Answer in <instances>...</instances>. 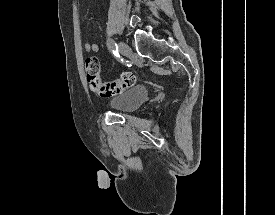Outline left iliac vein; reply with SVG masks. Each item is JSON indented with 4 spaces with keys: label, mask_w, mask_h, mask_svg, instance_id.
<instances>
[{
    "label": "left iliac vein",
    "mask_w": 275,
    "mask_h": 215,
    "mask_svg": "<svg viewBox=\"0 0 275 215\" xmlns=\"http://www.w3.org/2000/svg\"><path fill=\"white\" fill-rule=\"evenodd\" d=\"M119 51L126 57L132 53L130 46L125 42H119Z\"/></svg>",
    "instance_id": "4c4485c4"
}]
</instances>
